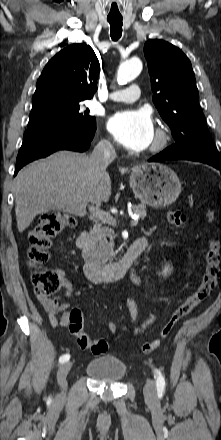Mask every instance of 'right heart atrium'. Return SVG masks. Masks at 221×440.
<instances>
[{
	"label": "right heart atrium",
	"mask_w": 221,
	"mask_h": 440,
	"mask_svg": "<svg viewBox=\"0 0 221 440\" xmlns=\"http://www.w3.org/2000/svg\"><path fill=\"white\" fill-rule=\"evenodd\" d=\"M102 146L108 150H113L115 148V143L114 141L110 140V139H104L101 142Z\"/></svg>",
	"instance_id": "d8ad5b80"
}]
</instances>
